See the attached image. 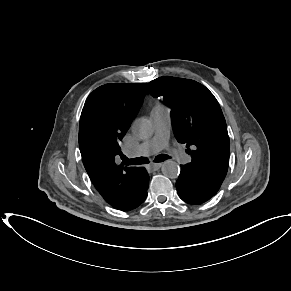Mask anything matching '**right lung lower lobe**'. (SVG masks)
Returning <instances> with one entry per match:
<instances>
[{"label":"right lung lower lobe","instance_id":"right-lung-lower-lobe-1","mask_svg":"<svg viewBox=\"0 0 291 291\" xmlns=\"http://www.w3.org/2000/svg\"><path fill=\"white\" fill-rule=\"evenodd\" d=\"M133 188L131 190L129 198L119 204L118 206H112L121 211H130L140 206L147 197V189L149 186V175L143 167L136 168L133 174Z\"/></svg>","mask_w":291,"mask_h":291}]
</instances>
